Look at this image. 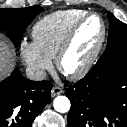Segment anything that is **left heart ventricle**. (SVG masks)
Returning a JSON list of instances; mask_svg holds the SVG:
<instances>
[{"label":"left heart ventricle","instance_id":"obj_1","mask_svg":"<svg viewBox=\"0 0 127 127\" xmlns=\"http://www.w3.org/2000/svg\"><path fill=\"white\" fill-rule=\"evenodd\" d=\"M101 33L102 24L95 16L90 17L82 24L64 60L66 71L76 70L86 62L98 44Z\"/></svg>","mask_w":127,"mask_h":127}]
</instances>
